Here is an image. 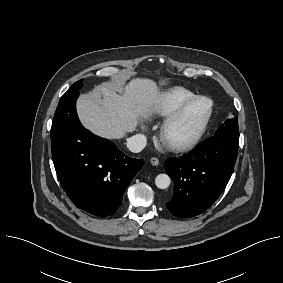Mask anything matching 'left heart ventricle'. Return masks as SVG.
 <instances>
[{
    "mask_svg": "<svg viewBox=\"0 0 283 283\" xmlns=\"http://www.w3.org/2000/svg\"><path fill=\"white\" fill-rule=\"evenodd\" d=\"M208 109L209 102L207 100H200L193 104L173 131L172 138L182 139L195 133L200 127Z\"/></svg>",
    "mask_w": 283,
    "mask_h": 283,
    "instance_id": "1",
    "label": "left heart ventricle"
}]
</instances>
